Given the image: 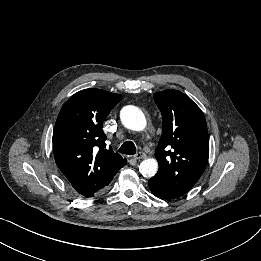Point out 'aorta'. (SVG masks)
Here are the masks:
<instances>
[{
    "label": "aorta",
    "mask_w": 261,
    "mask_h": 261,
    "mask_svg": "<svg viewBox=\"0 0 261 261\" xmlns=\"http://www.w3.org/2000/svg\"><path fill=\"white\" fill-rule=\"evenodd\" d=\"M122 124L134 131H142L146 127V118L143 112L135 106L128 105L120 112ZM139 171L144 177H153L158 171V162L154 158L143 160L139 165Z\"/></svg>",
    "instance_id": "obj_1"
}]
</instances>
